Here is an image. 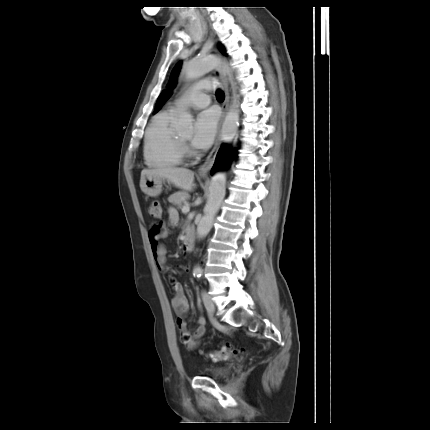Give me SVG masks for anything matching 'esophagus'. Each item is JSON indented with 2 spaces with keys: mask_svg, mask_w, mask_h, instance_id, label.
<instances>
[{
  "mask_svg": "<svg viewBox=\"0 0 430 430\" xmlns=\"http://www.w3.org/2000/svg\"><path fill=\"white\" fill-rule=\"evenodd\" d=\"M215 75L221 80L222 85H223V89L225 92V99L224 102L222 104V119L221 122H223L225 115L227 113V109H228V105H229V100H230V95H229V87H228V82L227 79L225 78V76L221 73L220 70L216 69L215 70ZM220 147V131L218 132L215 144L213 149L211 150V152L209 153V155L207 156L205 162L200 166V168L198 169V173L199 175H207L208 172L211 170L212 166L214 165L218 150Z\"/></svg>",
  "mask_w": 430,
  "mask_h": 430,
  "instance_id": "obj_1",
  "label": "esophagus"
}]
</instances>
